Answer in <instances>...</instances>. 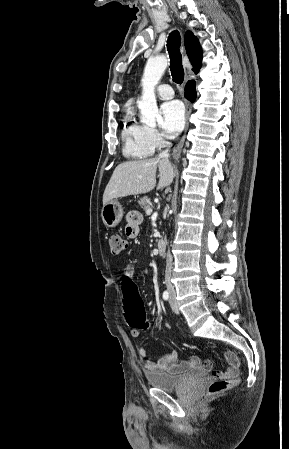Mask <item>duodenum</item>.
I'll return each instance as SVG.
<instances>
[{
	"instance_id": "1",
	"label": "duodenum",
	"mask_w": 289,
	"mask_h": 449,
	"mask_svg": "<svg viewBox=\"0 0 289 449\" xmlns=\"http://www.w3.org/2000/svg\"><path fill=\"white\" fill-rule=\"evenodd\" d=\"M156 247L159 255L163 256L166 251V242L163 239H158L156 242Z\"/></svg>"
}]
</instances>
